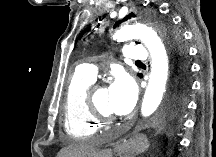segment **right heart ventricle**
Listing matches in <instances>:
<instances>
[{"label":"right heart ventricle","instance_id":"right-heart-ventricle-1","mask_svg":"<svg viewBox=\"0 0 216 157\" xmlns=\"http://www.w3.org/2000/svg\"><path fill=\"white\" fill-rule=\"evenodd\" d=\"M94 80L73 73L68 81L63 99V127L72 137H89L98 129V120L90 111L87 93Z\"/></svg>","mask_w":216,"mask_h":157}]
</instances>
